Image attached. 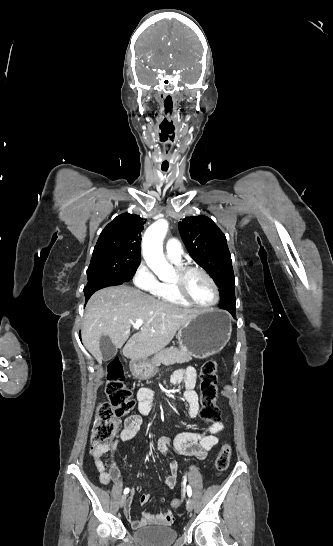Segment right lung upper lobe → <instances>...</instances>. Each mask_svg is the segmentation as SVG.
<instances>
[{
	"instance_id": "right-lung-upper-lobe-1",
	"label": "right lung upper lobe",
	"mask_w": 333,
	"mask_h": 546,
	"mask_svg": "<svg viewBox=\"0 0 333 546\" xmlns=\"http://www.w3.org/2000/svg\"><path fill=\"white\" fill-rule=\"evenodd\" d=\"M144 219L136 214L123 213L101 232L94 252L115 251L126 253L140 263V241Z\"/></svg>"
}]
</instances>
